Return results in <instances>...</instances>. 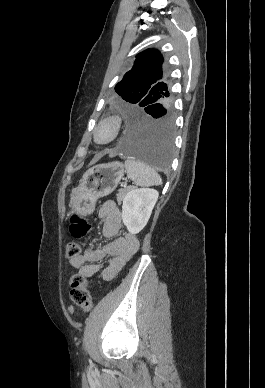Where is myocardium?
<instances>
[{
	"label": "myocardium",
	"mask_w": 265,
	"mask_h": 388,
	"mask_svg": "<svg viewBox=\"0 0 265 388\" xmlns=\"http://www.w3.org/2000/svg\"><path fill=\"white\" fill-rule=\"evenodd\" d=\"M121 129V118L116 115H111L104 118L97 126V131L100 134V144H106L115 140Z\"/></svg>",
	"instance_id": "obj_1"
}]
</instances>
